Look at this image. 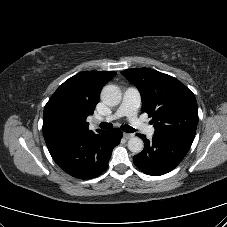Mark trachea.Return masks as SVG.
I'll list each match as a JSON object with an SVG mask.
<instances>
[{"mask_svg": "<svg viewBox=\"0 0 227 227\" xmlns=\"http://www.w3.org/2000/svg\"><path fill=\"white\" fill-rule=\"evenodd\" d=\"M99 126H100L101 129L112 128V124L111 123H106V122L101 123ZM121 130L124 131V132H127V133H132V132L135 131L134 128H132L131 126H129L127 124L121 125Z\"/></svg>", "mask_w": 227, "mask_h": 227, "instance_id": "3493384b", "label": "trachea"}]
</instances>
